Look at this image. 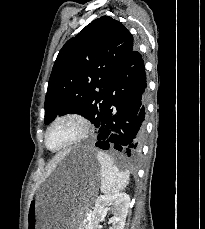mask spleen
Wrapping results in <instances>:
<instances>
[{
  "mask_svg": "<svg viewBox=\"0 0 205 229\" xmlns=\"http://www.w3.org/2000/svg\"><path fill=\"white\" fill-rule=\"evenodd\" d=\"M97 159L101 167V191L113 194L123 190L129 183V174L121 172L104 152H97Z\"/></svg>",
  "mask_w": 205,
  "mask_h": 229,
  "instance_id": "obj_1",
  "label": "spleen"
}]
</instances>
